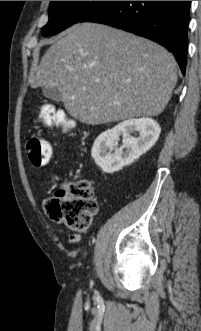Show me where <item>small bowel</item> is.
I'll return each mask as SVG.
<instances>
[{
    "label": "small bowel",
    "instance_id": "obj_1",
    "mask_svg": "<svg viewBox=\"0 0 201 331\" xmlns=\"http://www.w3.org/2000/svg\"><path fill=\"white\" fill-rule=\"evenodd\" d=\"M70 240H71V242L76 243L79 240V236L78 235H71Z\"/></svg>",
    "mask_w": 201,
    "mask_h": 331
}]
</instances>
